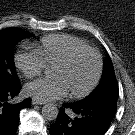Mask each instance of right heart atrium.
Masks as SVG:
<instances>
[{"label":"right heart atrium","instance_id":"1","mask_svg":"<svg viewBox=\"0 0 135 135\" xmlns=\"http://www.w3.org/2000/svg\"><path fill=\"white\" fill-rule=\"evenodd\" d=\"M15 65L26 78L39 76L44 68L45 63L36 50L20 51L15 55Z\"/></svg>","mask_w":135,"mask_h":135}]
</instances>
